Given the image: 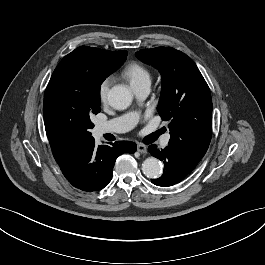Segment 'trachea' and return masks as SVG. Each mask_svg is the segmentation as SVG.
Returning a JSON list of instances; mask_svg holds the SVG:
<instances>
[{
  "mask_svg": "<svg viewBox=\"0 0 265 265\" xmlns=\"http://www.w3.org/2000/svg\"><path fill=\"white\" fill-rule=\"evenodd\" d=\"M161 133H162V130H158L157 132H155V133L152 134V138L154 140H156Z\"/></svg>",
  "mask_w": 265,
  "mask_h": 265,
  "instance_id": "obj_1",
  "label": "trachea"
}]
</instances>
